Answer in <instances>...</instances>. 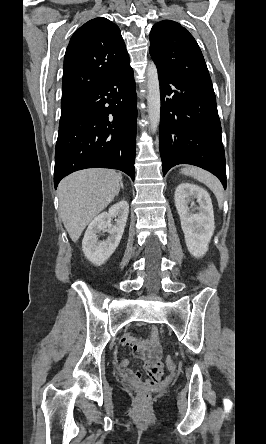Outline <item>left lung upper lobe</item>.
Masks as SVG:
<instances>
[{"instance_id":"left-lung-upper-lobe-1","label":"left lung upper lobe","mask_w":266,"mask_h":444,"mask_svg":"<svg viewBox=\"0 0 266 444\" xmlns=\"http://www.w3.org/2000/svg\"><path fill=\"white\" fill-rule=\"evenodd\" d=\"M149 52L157 66L177 77L211 80L197 42L177 22L163 20L152 27Z\"/></svg>"}]
</instances>
